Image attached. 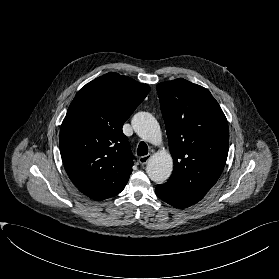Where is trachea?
<instances>
[{
	"label": "trachea",
	"instance_id": "3493384b",
	"mask_svg": "<svg viewBox=\"0 0 279 279\" xmlns=\"http://www.w3.org/2000/svg\"><path fill=\"white\" fill-rule=\"evenodd\" d=\"M148 154V147L147 144L143 141H141L137 148V155L138 156H145Z\"/></svg>",
	"mask_w": 279,
	"mask_h": 279
}]
</instances>
